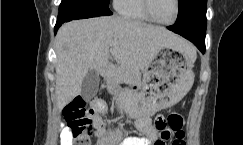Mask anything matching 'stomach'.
<instances>
[{
	"label": "stomach",
	"instance_id": "obj_1",
	"mask_svg": "<svg viewBox=\"0 0 243 145\" xmlns=\"http://www.w3.org/2000/svg\"><path fill=\"white\" fill-rule=\"evenodd\" d=\"M196 52L171 48L156 54L143 71L141 94H118V103L126 106L132 117L154 116L158 110L178 103L194 82L193 63Z\"/></svg>",
	"mask_w": 243,
	"mask_h": 145
}]
</instances>
